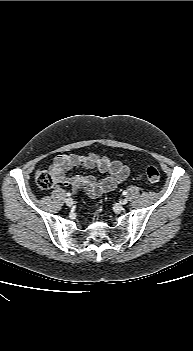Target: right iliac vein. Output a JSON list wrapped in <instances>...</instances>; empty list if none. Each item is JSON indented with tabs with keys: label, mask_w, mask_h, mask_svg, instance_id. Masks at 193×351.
<instances>
[{
	"label": "right iliac vein",
	"mask_w": 193,
	"mask_h": 351,
	"mask_svg": "<svg viewBox=\"0 0 193 351\" xmlns=\"http://www.w3.org/2000/svg\"><path fill=\"white\" fill-rule=\"evenodd\" d=\"M65 203L67 206H72L74 202H73V199L68 198V199H66Z\"/></svg>",
	"instance_id": "1"
}]
</instances>
